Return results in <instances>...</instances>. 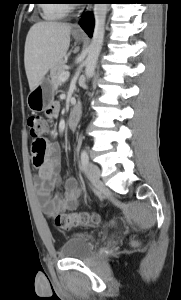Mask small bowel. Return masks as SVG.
<instances>
[{
    "label": "small bowel",
    "mask_w": 181,
    "mask_h": 300,
    "mask_svg": "<svg viewBox=\"0 0 181 300\" xmlns=\"http://www.w3.org/2000/svg\"><path fill=\"white\" fill-rule=\"evenodd\" d=\"M60 109L58 102L52 103L46 110L49 117L57 116ZM51 139L47 142L45 151L40 154L32 151L33 164L38 170L35 180L37 196L41 200L42 209L47 215L71 210L77 207L80 197V188L75 178L70 177L64 182L63 195L52 192L59 186L58 175L59 148L54 138L57 135L55 129L50 130Z\"/></svg>",
    "instance_id": "c3829d8e"
}]
</instances>
